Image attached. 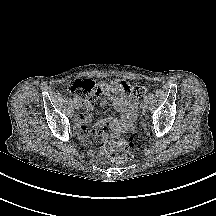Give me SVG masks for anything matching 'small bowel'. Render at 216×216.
<instances>
[{
	"instance_id": "small-bowel-1",
	"label": "small bowel",
	"mask_w": 216,
	"mask_h": 216,
	"mask_svg": "<svg viewBox=\"0 0 216 216\" xmlns=\"http://www.w3.org/2000/svg\"><path fill=\"white\" fill-rule=\"evenodd\" d=\"M101 87L107 97V100H102L101 106L105 107L111 102L119 116H109L105 120L97 122L90 130L86 124L90 121L94 103L82 102V112L77 113L74 118L75 132L82 139L88 138L91 141H96L105 125L109 126V132L102 135L104 138L133 128V121L137 114V102L130 91L131 86L123 80L115 79L103 81Z\"/></svg>"
}]
</instances>
